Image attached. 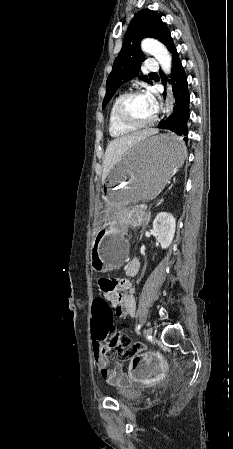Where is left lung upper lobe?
<instances>
[{
    "mask_svg": "<svg viewBox=\"0 0 233 449\" xmlns=\"http://www.w3.org/2000/svg\"><path fill=\"white\" fill-rule=\"evenodd\" d=\"M145 37L159 40L170 52L175 48L170 31L161 20L160 15L149 9L140 10L130 22L122 49L107 78L103 108L106 107L121 84L138 75L141 61L144 59L140 42ZM139 78L150 83L147 76H139Z\"/></svg>",
    "mask_w": 233,
    "mask_h": 449,
    "instance_id": "left-lung-upper-lobe-1",
    "label": "left lung upper lobe"
}]
</instances>
